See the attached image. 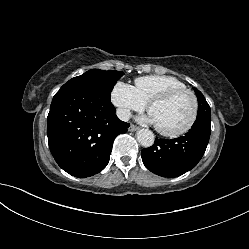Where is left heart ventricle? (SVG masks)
<instances>
[{"instance_id":"1","label":"left heart ventricle","mask_w":249,"mask_h":249,"mask_svg":"<svg viewBox=\"0 0 249 249\" xmlns=\"http://www.w3.org/2000/svg\"><path fill=\"white\" fill-rule=\"evenodd\" d=\"M192 99L188 94H180L171 100L155 105L150 114L156 126L167 131L184 127L192 114Z\"/></svg>"}]
</instances>
